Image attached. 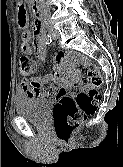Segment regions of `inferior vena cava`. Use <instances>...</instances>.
Masks as SVG:
<instances>
[{
    "mask_svg": "<svg viewBox=\"0 0 123 167\" xmlns=\"http://www.w3.org/2000/svg\"><path fill=\"white\" fill-rule=\"evenodd\" d=\"M39 3H40L43 13L49 16L50 10H49L48 3H46L45 0H39Z\"/></svg>",
    "mask_w": 123,
    "mask_h": 167,
    "instance_id": "602c4592",
    "label": "inferior vena cava"
}]
</instances>
